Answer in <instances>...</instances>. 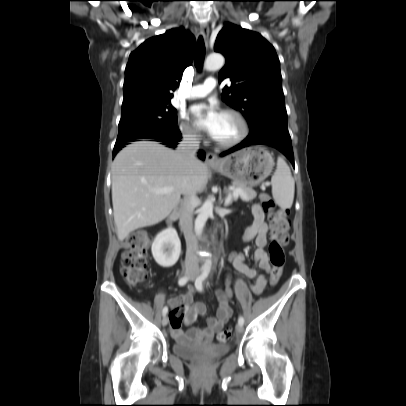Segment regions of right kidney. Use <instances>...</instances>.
Listing matches in <instances>:
<instances>
[{
	"label": "right kidney",
	"mask_w": 406,
	"mask_h": 406,
	"mask_svg": "<svg viewBox=\"0 0 406 406\" xmlns=\"http://www.w3.org/2000/svg\"><path fill=\"white\" fill-rule=\"evenodd\" d=\"M152 255L156 263L162 267H171L179 259L181 242L174 228H168L157 234L152 247Z\"/></svg>",
	"instance_id": "right-kidney-1"
}]
</instances>
